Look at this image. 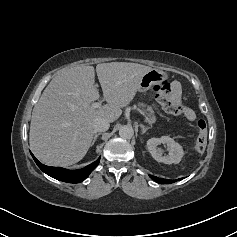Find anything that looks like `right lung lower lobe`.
<instances>
[{"label":"right lung lower lobe","instance_id":"obj_1","mask_svg":"<svg viewBox=\"0 0 237 237\" xmlns=\"http://www.w3.org/2000/svg\"><path fill=\"white\" fill-rule=\"evenodd\" d=\"M33 159L35 160L36 164L38 167L47 175L63 181V182H68V183H79L85 180L89 174L96 168V166L99 164L100 158L97 159L95 162L91 163L90 165L78 169V170H68L65 168H60V167H50L43 165L40 163L34 155L31 153Z\"/></svg>","mask_w":237,"mask_h":237}]
</instances>
